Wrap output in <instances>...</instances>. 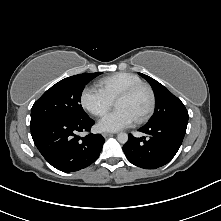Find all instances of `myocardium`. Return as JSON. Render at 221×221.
Masks as SVG:
<instances>
[{
	"label": "myocardium",
	"mask_w": 221,
	"mask_h": 221,
	"mask_svg": "<svg viewBox=\"0 0 221 221\" xmlns=\"http://www.w3.org/2000/svg\"><path fill=\"white\" fill-rule=\"evenodd\" d=\"M140 89H146L148 91L149 97H150V103H149V107L146 110V112L141 117H139L138 119L135 120V122L138 124H141V123L147 121L152 116V114L155 110L156 97H155V93H154L153 88L149 84L144 83V82L137 83V84H134V85L128 87L124 91H122L115 99V102H117L118 100L128 98Z\"/></svg>",
	"instance_id": "1"
}]
</instances>
